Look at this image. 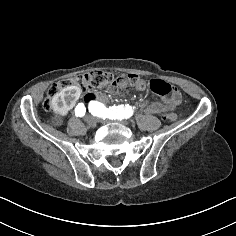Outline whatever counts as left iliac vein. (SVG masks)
<instances>
[{
	"instance_id": "left-iliac-vein-1",
	"label": "left iliac vein",
	"mask_w": 236,
	"mask_h": 236,
	"mask_svg": "<svg viewBox=\"0 0 236 236\" xmlns=\"http://www.w3.org/2000/svg\"><path fill=\"white\" fill-rule=\"evenodd\" d=\"M96 121L99 122V123H100V122H101V123H104V124L107 123V122H108V123L111 122V123H113V124H114V123H116V124H117V123H118V124L122 123V124L131 125V126L134 125V124L131 123V122H126V121H122V120L119 121V120H117V119H116V120L113 119V120H111V121H110V120H107V119H105V120L102 119V120L100 121V120L97 119ZM115 121H116V122H115Z\"/></svg>"
}]
</instances>
